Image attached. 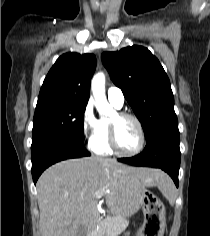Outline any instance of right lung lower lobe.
I'll return each mask as SVG.
<instances>
[{
	"label": "right lung lower lobe",
	"instance_id": "98d812e1",
	"mask_svg": "<svg viewBox=\"0 0 210 236\" xmlns=\"http://www.w3.org/2000/svg\"><path fill=\"white\" fill-rule=\"evenodd\" d=\"M89 155L90 153L84 148V144L72 139L50 136L32 140L31 158L34 184L41 173L50 165L62 160Z\"/></svg>",
	"mask_w": 210,
	"mask_h": 236
}]
</instances>
